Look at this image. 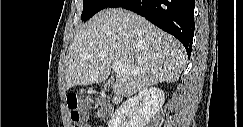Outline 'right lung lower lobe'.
<instances>
[{
	"instance_id": "right-lung-lower-lobe-1",
	"label": "right lung lower lobe",
	"mask_w": 243,
	"mask_h": 127,
	"mask_svg": "<svg viewBox=\"0 0 243 127\" xmlns=\"http://www.w3.org/2000/svg\"><path fill=\"white\" fill-rule=\"evenodd\" d=\"M195 0H116L110 7L131 10L175 36L191 55Z\"/></svg>"
}]
</instances>
